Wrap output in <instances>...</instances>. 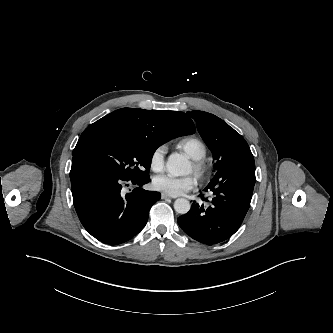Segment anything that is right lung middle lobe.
Listing matches in <instances>:
<instances>
[{"label":"right lung middle lobe","instance_id":"1","mask_svg":"<svg viewBox=\"0 0 333 333\" xmlns=\"http://www.w3.org/2000/svg\"><path fill=\"white\" fill-rule=\"evenodd\" d=\"M159 146L124 132L97 131L82 134L72 155L94 159L117 175L148 178L151 158Z\"/></svg>","mask_w":333,"mask_h":333}]
</instances>
